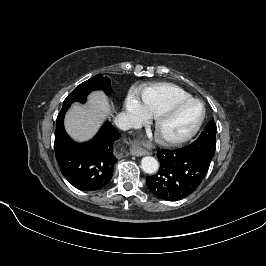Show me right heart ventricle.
<instances>
[{
	"label": "right heart ventricle",
	"instance_id": "e07e8e85",
	"mask_svg": "<svg viewBox=\"0 0 266 266\" xmlns=\"http://www.w3.org/2000/svg\"><path fill=\"white\" fill-rule=\"evenodd\" d=\"M192 96L181 87L170 83H156L142 91V100L151 116H157L177 102Z\"/></svg>",
	"mask_w": 266,
	"mask_h": 266
}]
</instances>
